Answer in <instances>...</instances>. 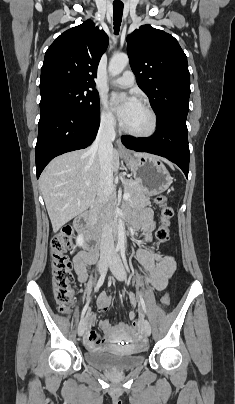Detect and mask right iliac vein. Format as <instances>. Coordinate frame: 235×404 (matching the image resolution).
I'll return each mask as SVG.
<instances>
[{"mask_svg":"<svg viewBox=\"0 0 235 404\" xmlns=\"http://www.w3.org/2000/svg\"><path fill=\"white\" fill-rule=\"evenodd\" d=\"M108 261H109V257H105V258L99 263V272H100L101 274L106 270ZM84 330H85V321L82 320V321L79 323V326H78V335H79V336H82L83 333H84Z\"/></svg>","mask_w":235,"mask_h":404,"instance_id":"right-iliac-vein-1","label":"right iliac vein"}]
</instances>
